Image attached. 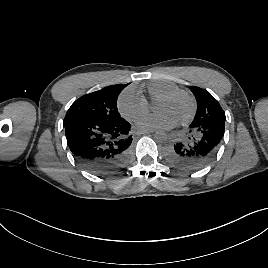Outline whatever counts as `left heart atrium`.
<instances>
[{"mask_svg": "<svg viewBox=\"0 0 268 268\" xmlns=\"http://www.w3.org/2000/svg\"><path fill=\"white\" fill-rule=\"evenodd\" d=\"M151 123L159 128L168 129L173 127L177 122L166 115L158 114L151 119Z\"/></svg>", "mask_w": 268, "mask_h": 268, "instance_id": "obj_1", "label": "left heart atrium"}]
</instances>
